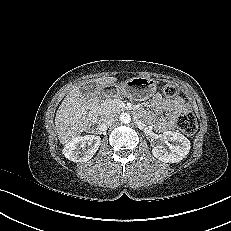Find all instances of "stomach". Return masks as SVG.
<instances>
[{
    "mask_svg": "<svg viewBox=\"0 0 231 231\" xmlns=\"http://www.w3.org/2000/svg\"><path fill=\"white\" fill-rule=\"evenodd\" d=\"M156 90L157 82L154 79L133 77L119 85H111V88L106 90L105 96L116 97L122 95L132 100L144 101L152 97Z\"/></svg>",
    "mask_w": 231,
    "mask_h": 231,
    "instance_id": "0dacf381",
    "label": "stomach"
}]
</instances>
